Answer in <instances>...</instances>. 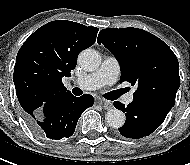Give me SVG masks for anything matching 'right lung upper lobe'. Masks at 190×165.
<instances>
[{
    "label": "right lung upper lobe",
    "mask_w": 190,
    "mask_h": 165,
    "mask_svg": "<svg viewBox=\"0 0 190 165\" xmlns=\"http://www.w3.org/2000/svg\"><path fill=\"white\" fill-rule=\"evenodd\" d=\"M99 29L56 20L36 30L16 57L13 80L23 112L32 114L50 98L70 92L62 77H69L81 50L93 45Z\"/></svg>",
    "instance_id": "cb5924a9"
}]
</instances>
